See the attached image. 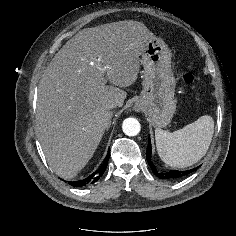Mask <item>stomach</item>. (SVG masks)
Listing matches in <instances>:
<instances>
[{"mask_svg": "<svg viewBox=\"0 0 236 236\" xmlns=\"http://www.w3.org/2000/svg\"><path fill=\"white\" fill-rule=\"evenodd\" d=\"M141 57L143 89L135 109L144 111L154 127H165L176 111V80L171 69V52L163 40L155 39L147 43Z\"/></svg>", "mask_w": 236, "mask_h": 236, "instance_id": "0dacf381", "label": "stomach"}]
</instances>
